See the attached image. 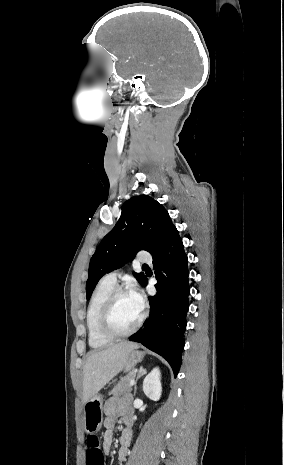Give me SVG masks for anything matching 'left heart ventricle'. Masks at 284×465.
<instances>
[{
	"instance_id": "obj_1",
	"label": "left heart ventricle",
	"mask_w": 284,
	"mask_h": 465,
	"mask_svg": "<svg viewBox=\"0 0 284 465\" xmlns=\"http://www.w3.org/2000/svg\"><path fill=\"white\" fill-rule=\"evenodd\" d=\"M142 309L135 303L131 295L120 297L116 303L112 327L115 333H128L139 321Z\"/></svg>"
}]
</instances>
